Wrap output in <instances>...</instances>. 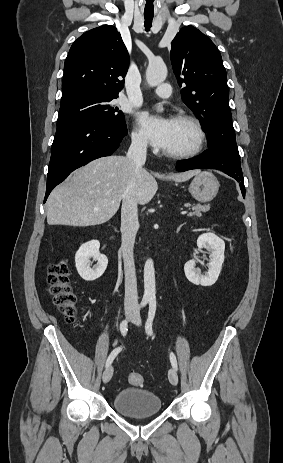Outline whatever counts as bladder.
Listing matches in <instances>:
<instances>
[{"label":"bladder","instance_id":"1","mask_svg":"<svg viewBox=\"0 0 283 463\" xmlns=\"http://www.w3.org/2000/svg\"><path fill=\"white\" fill-rule=\"evenodd\" d=\"M112 404L115 410L128 418H144L157 415L162 410L158 395L142 388H125L118 391Z\"/></svg>","mask_w":283,"mask_h":463}]
</instances>
